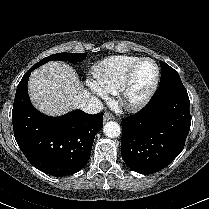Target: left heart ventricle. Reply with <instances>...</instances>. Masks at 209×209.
Listing matches in <instances>:
<instances>
[{
    "mask_svg": "<svg viewBox=\"0 0 209 209\" xmlns=\"http://www.w3.org/2000/svg\"><path fill=\"white\" fill-rule=\"evenodd\" d=\"M155 78V67L151 62H143L136 69L132 86L130 89V98L133 100L140 99L150 89Z\"/></svg>",
    "mask_w": 209,
    "mask_h": 209,
    "instance_id": "obj_1",
    "label": "left heart ventricle"
}]
</instances>
